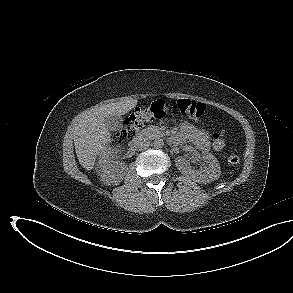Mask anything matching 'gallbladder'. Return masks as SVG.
Masks as SVG:
<instances>
[{
	"label": "gallbladder",
	"mask_w": 293,
	"mask_h": 293,
	"mask_svg": "<svg viewBox=\"0 0 293 293\" xmlns=\"http://www.w3.org/2000/svg\"><path fill=\"white\" fill-rule=\"evenodd\" d=\"M104 123L110 131H118L123 127V117L109 115L105 118Z\"/></svg>",
	"instance_id": "bac80fb5"
}]
</instances>
